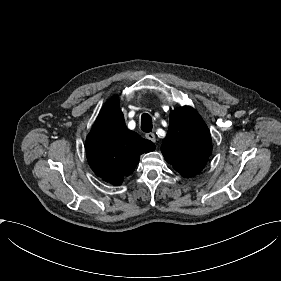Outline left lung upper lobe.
<instances>
[{
    "mask_svg": "<svg viewBox=\"0 0 281 281\" xmlns=\"http://www.w3.org/2000/svg\"><path fill=\"white\" fill-rule=\"evenodd\" d=\"M161 151L165 160L184 177H191L204 168L212 153L211 136L193 108L180 107L170 113Z\"/></svg>",
    "mask_w": 281,
    "mask_h": 281,
    "instance_id": "1",
    "label": "left lung upper lobe"
}]
</instances>
